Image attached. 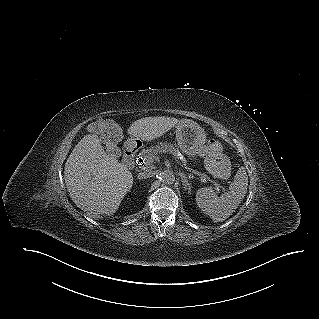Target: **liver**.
Listing matches in <instances>:
<instances>
[{
  "label": "liver",
  "instance_id": "6515ba94",
  "mask_svg": "<svg viewBox=\"0 0 319 319\" xmlns=\"http://www.w3.org/2000/svg\"><path fill=\"white\" fill-rule=\"evenodd\" d=\"M179 123L176 118L146 117L133 122L127 133L152 141ZM64 179L73 202L94 216L114 214L133 185L132 173L105 152L96 134L84 136L75 146L66 161Z\"/></svg>",
  "mask_w": 319,
  "mask_h": 319
}]
</instances>
